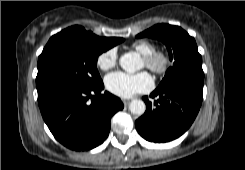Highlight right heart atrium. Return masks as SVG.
<instances>
[{
  "label": "right heart atrium",
  "instance_id": "obj_1",
  "mask_svg": "<svg viewBox=\"0 0 245 170\" xmlns=\"http://www.w3.org/2000/svg\"><path fill=\"white\" fill-rule=\"evenodd\" d=\"M117 62L118 53L114 48L102 52L96 60L98 68L104 71L113 68L117 64Z\"/></svg>",
  "mask_w": 245,
  "mask_h": 170
}]
</instances>
